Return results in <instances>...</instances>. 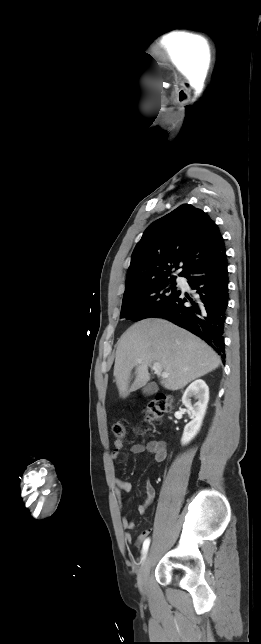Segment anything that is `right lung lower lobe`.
<instances>
[{
  "instance_id": "obj_1",
  "label": "right lung lower lobe",
  "mask_w": 261,
  "mask_h": 644,
  "mask_svg": "<svg viewBox=\"0 0 261 644\" xmlns=\"http://www.w3.org/2000/svg\"><path fill=\"white\" fill-rule=\"evenodd\" d=\"M226 256L212 264L193 268L183 276L198 298L180 293L178 298L154 317L165 318L205 340L225 358L224 328L228 306Z\"/></svg>"
}]
</instances>
